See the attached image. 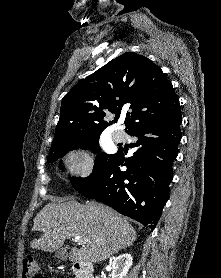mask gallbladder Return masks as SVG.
Returning <instances> with one entry per match:
<instances>
[{
    "mask_svg": "<svg viewBox=\"0 0 221 278\" xmlns=\"http://www.w3.org/2000/svg\"><path fill=\"white\" fill-rule=\"evenodd\" d=\"M65 253H66V251L63 248L55 254V257L58 259H61V260H65V258H66Z\"/></svg>",
    "mask_w": 221,
    "mask_h": 278,
    "instance_id": "gallbladder-1",
    "label": "gallbladder"
}]
</instances>
